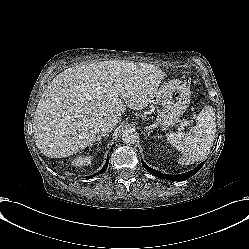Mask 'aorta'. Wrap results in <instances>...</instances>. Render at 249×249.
I'll return each instance as SVG.
<instances>
[{
	"label": "aorta",
	"instance_id": "aorta-1",
	"mask_svg": "<svg viewBox=\"0 0 249 249\" xmlns=\"http://www.w3.org/2000/svg\"><path fill=\"white\" fill-rule=\"evenodd\" d=\"M137 139L138 136L132 129H127L122 133V141L127 145L136 143Z\"/></svg>",
	"mask_w": 249,
	"mask_h": 249
}]
</instances>
